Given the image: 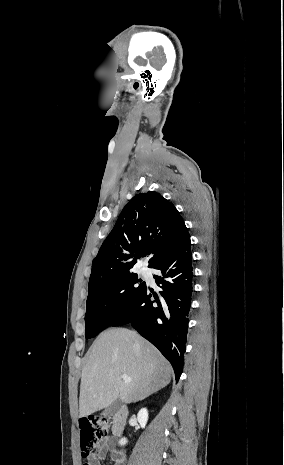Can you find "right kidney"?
Listing matches in <instances>:
<instances>
[{
	"label": "right kidney",
	"mask_w": 284,
	"mask_h": 465,
	"mask_svg": "<svg viewBox=\"0 0 284 465\" xmlns=\"http://www.w3.org/2000/svg\"><path fill=\"white\" fill-rule=\"evenodd\" d=\"M137 421H138V423H140V427H142V429H145L146 423L148 421L147 409H141V411H139V413L137 415ZM119 443H120V445H126L127 441H126V439H121V441H119Z\"/></svg>",
	"instance_id": "right-kidney-1"
}]
</instances>
